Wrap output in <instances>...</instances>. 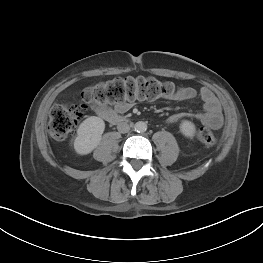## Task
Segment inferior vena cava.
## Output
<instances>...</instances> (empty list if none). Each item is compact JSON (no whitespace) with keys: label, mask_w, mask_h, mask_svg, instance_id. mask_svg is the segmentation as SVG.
Listing matches in <instances>:
<instances>
[{"label":"inferior vena cava","mask_w":263,"mask_h":263,"mask_svg":"<svg viewBox=\"0 0 263 263\" xmlns=\"http://www.w3.org/2000/svg\"><path fill=\"white\" fill-rule=\"evenodd\" d=\"M117 129L120 133H127L130 130V126L127 122H121L117 125Z\"/></svg>","instance_id":"1"}]
</instances>
